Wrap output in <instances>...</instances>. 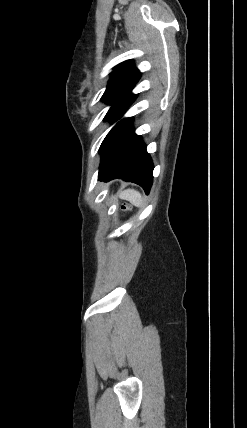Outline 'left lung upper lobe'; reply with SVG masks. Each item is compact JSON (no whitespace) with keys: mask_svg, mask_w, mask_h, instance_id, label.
Instances as JSON below:
<instances>
[{"mask_svg":"<svg viewBox=\"0 0 247 428\" xmlns=\"http://www.w3.org/2000/svg\"><path fill=\"white\" fill-rule=\"evenodd\" d=\"M140 76L141 73L134 66L132 60H127L114 69L101 98L102 101L111 104V108L104 120L110 119L118 110L137 96L132 94L131 90Z\"/></svg>","mask_w":247,"mask_h":428,"instance_id":"5c2ea615","label":"left lung upper lobe"}]
</instances>
